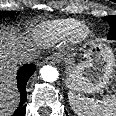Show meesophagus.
Masks as SVG:
<instances>
[{
    "mask_svg": "<svg viewBox=\"0 0 116 116\" xmlns=\"http://www.w3.org/2000/svg\"><path fill=\"white\" fill-rule=\"evenodd\" d=\"M55 59L53 57H47L43 63H46V64H55Z\"/></svg>",
    "mask_w": 116,
    "mask_h": 116,
    "instance_id": "esophagus-1",
    "label": "esophagus"
}]
</instances>
